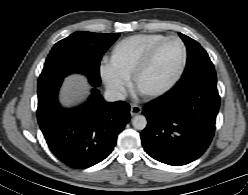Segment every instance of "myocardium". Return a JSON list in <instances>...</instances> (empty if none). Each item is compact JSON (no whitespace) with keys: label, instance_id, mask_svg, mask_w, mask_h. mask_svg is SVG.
Returning <instances> with one entry per match:
<instances>
[{"label":"myocardium","instance_id":"obj_1","mask_svg":"<svg viewBox=\"0 0 248 195\" xmlns=\"http://www.w3.org/2000/svg\"><path fill=\"white\" fill-rule=\"evenodd\" d=\"M173 39L178 40L181 43L182 48H183L182 62L180 64V67H179L176 75L173 77V79L169 83H167L165 86H163L159 89L150 90V91L141 90L140 89L141 78L150 69L157 53L162 48V46L166 42L173 40ZM187 59H188V49H187L185 42L182 40V38H180L177 35H170V36L165 37L150 51V53L145 58L144 62L140 65V67L134 73L133 80H132L133 89L136 92H138L139 94H141L147 98H156V97H159V96L166 94L178 83V81L182 77V75L185 71L186 65H187Z\"/></svg>","mask_w":248,"mask_h":195}]
</instances>
